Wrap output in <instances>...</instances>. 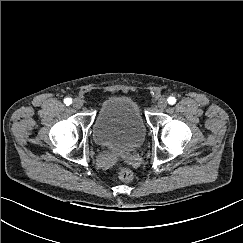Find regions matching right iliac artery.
Returning <instances> with one entry per match:
<instances>
[{
  "label": "right iliac artery",
  "mask_w": 243,
  "mask_h": 243,
  "mask_svg": "<svg viewBox=\"0 0 243 243\" xmlns=\"http://www.w3.org/2000/svg\"><path fill=\"white\" fill-rule=\"evenodd\" d=\"M64 103H65L67 106H69V105L72 103V99H71V98H66V99L64 100Z\"/></svg>",
  "instance_id": "82829eb1"
}]
</instances>
